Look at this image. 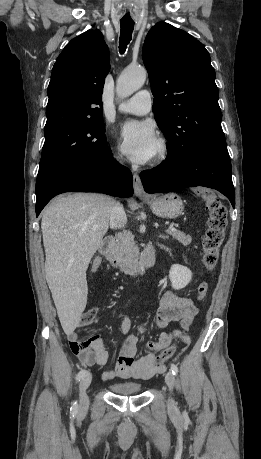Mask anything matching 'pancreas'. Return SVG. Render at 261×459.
Returning a JSON list of instances; mask_svg holds the SVG:
<instances>
[{"instance_id":"pancreas-1","label":"pancreas","mask_w":261,"mask_h":459,"mask_svg":"<svg viewBox=\"0 0 261 459\" xmlns=\"http://www.w3.org/2000/svg\"><path fill=\"white\" fill-rule=\"evenodd\" d=\"M167 232L184 246H188L192 241L191 236L186 235L184 232L178 230H168ZM114 251V256L118 259L120 268L125 269L129 266L134 261L137 254V247L132 233L124 232L119 234L116 237Z\"/></svg>"}]
</instances>
